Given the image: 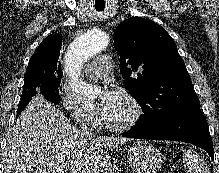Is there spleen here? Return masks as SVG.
<instances>
[{
	"instance_id": "spleen-1",
	"label": "spleen",
	"mask_w": 219,
	"mask_h": 173,
	"mask_svg": "<svg viewBox=\"0 0 219 173\" xmlns=\"http://www.w3.org/2000/svg\"><path fill=\"white\" fill-rule=\"evenodd\" d=\"M183 160L190 173H207L205 164L194 151L183 150Z\"/></svg>"
}]
</instances>
